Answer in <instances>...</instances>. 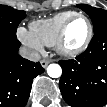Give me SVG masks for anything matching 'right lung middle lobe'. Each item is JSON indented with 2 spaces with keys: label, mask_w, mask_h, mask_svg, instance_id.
I'll return each mask as SVG.
<instances>
[{
  "label": "right lung middle lobe",
  "mask_w": 107,
  "mask_h": 107,
  "mask_svg": "<svg viewBox=\"0 0 107 107\" xmlns=\"http://www.w3.org/2000/svg\"><path fill=\"white\" fill-rule=\"evenodd\" d=\"M25 17V11L0 5V39L17 40L16 29Z\"/></svg>",
  "instance_id": "1"
}]
</instances>
